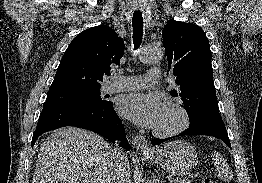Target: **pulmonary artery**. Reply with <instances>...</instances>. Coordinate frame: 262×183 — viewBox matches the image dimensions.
<instances>
[{
  "label": "pulmonary artery",
  "mask_w": 262,
  "mask_h": 183,
  "mask_svg": "<svg viewBox=\"0 0 262 183\" xmlns=\"http://www.w3.org/2000/svg\"><path fill=\"white\" fill-rule=\"evenodd\" d=\"M114 81L107 85L108 92L130 91L146 88L157 83L160 79V70L151 69L146 74L135 76L113 75Z\"/></svg>",
  "instance_id": "1"
}]
</instances>
